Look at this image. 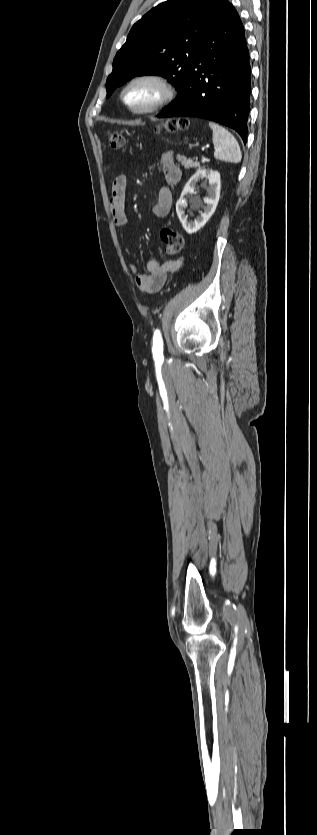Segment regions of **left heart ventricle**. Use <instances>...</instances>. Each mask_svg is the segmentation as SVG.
Listing matches in <instances>:
<instances>
[{"label": "left heart ventricle", "mask_w": 317, "mask_h": 835, "mask_svg": "<svg viewBox=\"0 0 317 835\" xmlns=\"http://www.w3.org/2000/svg\"><path fill=\"white\" fill-rule=\"evenodd\" d=\"M157 95L156 90L144 83L136 84L126 93L127 101L136 107H143L150 103Z\"/></svg>", "instance_id": "b2bd125f"}]
</instances>
